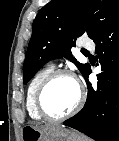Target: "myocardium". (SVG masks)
Listing matches in <instances>:
<instances>
[{"label": "myocardium", "instance_id": "f54148a6", "mask_svg": "<svg viewBox=\"0 0 119 141\" xmlns=\"http://www.w3.org/2000/svg\"><path fill=\"white\" fill-rule=\"evenodd\" d=\"M60 76H68L70 77L77 86L78 89V98L73 106L72 109H70L68 112L59 115V116H51L49 115L43 108L42 104V98L43 94L46 90V88L58 77ZM85 101V92L83 89V86L81 85L79 79L77 76L70 70L67 69H58L55 71H52L39 85L36 93H35V108L37 113L41 116L42 119L48 120V121H62L69 117H72L75 115L83 106Z\"/></svg>", "mask_w": 119, "mask_h": 141}]
</instances>
